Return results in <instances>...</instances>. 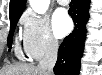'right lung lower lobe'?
I'll return each instance as SVG.
<instances>
[{"label": "right lung lower lobe", "mask_w": 102, "mask_h": 75, "mask_svg": "<svg viewBox=\"0 0 102 75\" xmlns=\"http://www.w3.org/2000/svg\"><path fill=\"white\" fill-rule=\"evenodd\" d=\"M89 5L90 0H71L68 13L74 21L75 28L59 47L58 59L53 68L55 75L79 74L80 59L86 38L85 24L89 18Z\"/></svg>", "instance_id": "1"}]
</instances>
